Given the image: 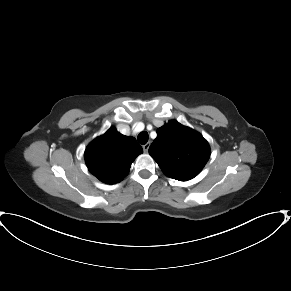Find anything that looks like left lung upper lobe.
Here are the masks:
<instances>
[{"label": "left lung upper lobe", "mask_w": 291, "mask_h": 291, "mask_svg": "<svg viewBox=\"0 0 291 291\" xmlns=\"http://www.w3.org/2000/svg\"><path fill=\"white\" fill-rule=\"evenodd\" d=\"M156 132L149 154L163 173L179 181L198 175L210 157V147L203 136L174 120Z\"/></svg>", "instance_id": "1"}]
</instances>
